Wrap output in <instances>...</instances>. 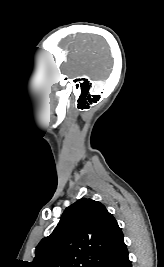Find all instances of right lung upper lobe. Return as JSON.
I'll list each match as a JSON object with an SVG mask.
<instances>
[{
  "instance_id": "obj_1",
  "label": "right lung upper lobe",
  "mask_w": 164,
  "mask_h": 267,
  "mask_svg": "<svg viewBox=\"0 0 164 267\" xmlns=\"http://www.w3.org/2000/svg\"><path fill=\"white\" fill-rule=\"evenodd\" d=\"M126 245L115 218L98 201L67 207L51 235L36 247L32 267H98Z\"/></svg>"
}]
</instances>
